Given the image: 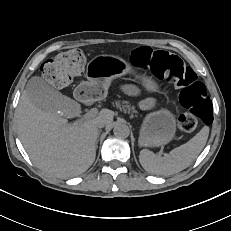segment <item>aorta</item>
I'll list each match as a JSON object with an SVG mask.
<instances>
[{"mask_svg": "<svg viewBox=\"0 0 231 231\" xmlns=\"http://www.w3.org/2000/svg\"><path fill=\"white\" fill-rule=\"evenodd\" d=\"M113 132L115 136L119 138H127L130 134V129L126 124L123 123H117L114 126Z\"/></svg>", "mask_w": 231, "mask_h": 231, "instance_id": "762f6f07", "label": "aorta"}]
</instances>
